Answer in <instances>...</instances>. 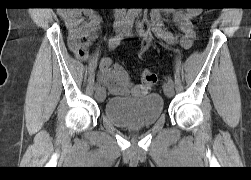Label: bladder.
<instances>
[{"label":"bladder","instance_id":"bladder-1","mask_svg":"<svg viewBox=\"0 0 251 180\" xmlns=\"http://www.w3.org/2000/svg\"><path fill=\"white\" fill-rule=\"evenodd\" d=\"M163 109L164 101L156 93L136 98L111 97L105 104L104 115L119 127H147L158 121Z\"/></svg>","mask_w":251,"mask_h":180}]
</instances>
